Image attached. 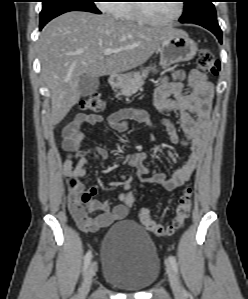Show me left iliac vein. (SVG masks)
Segmentation results:
<instances>
[{
    "label": "left iliac vein",
    "mask_w": 248,
    "mask_h": 299,
    "mask_svg": "<svg viewBox=\"0 0 248 299\" xmlns=\"http://www.w3.org/2000/svg\"><path fill=\"white\" fill-rule=\"evenodd\" d=\"M167 274L171 288L176 296L182 295V289L179 280L170 264H167Z\"/></svg>",
    "instance_id": "left-iliac-vein-1"
}]
</instances>
